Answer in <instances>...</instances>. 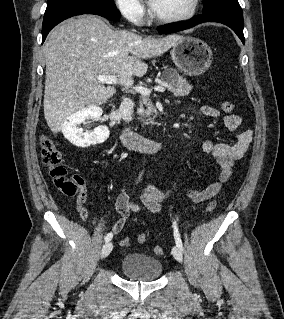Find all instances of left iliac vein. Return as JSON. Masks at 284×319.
<instances>
[{
  "label": "left iliac vein",
  "instance_id": "4c4485c4",
  "mask_svg": "<svg viewBox=\"0 0 284 319\" xmlns=\"http://www.w3.org/2000/svg\"><path fill=\"white\" fill-rule=\"evenodd\" d=\"M172 254L174 256V258L179 261V262H182L183 260V253H182V250L178 247V246H174L172 248Z\"/></svg>",
  "mask_w": 284,
  "mask_h": 319
}]
</instances>
